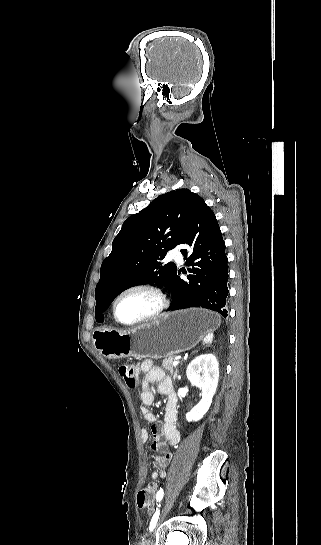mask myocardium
Returning <instances> with one entry per match:
<instances>
[{"instance_id":"f54148a6","label":"myocardium","mask_w":321,"mask_h":545,"mask_svg":"<svg viewBox=\"0 0 321 545\" xmlns=\"http://www.w3.org/2000/svg\"><path fill=\"white\" fill-rule=\"evenodd\" d=\"M134 291H146V292H149L151 294H153L157 301H158V305L155 309V311L153 313H151L150 315H148L147 317L143 318V319H140L138 321H135V322H131V323H127V322H124L122 321L119 316H118V313H117V305H118V302L119 300L126 294L130 293V292H134ZM170 299H169V296L168 294L160 287L156 286V285H153V284H134V285H131V286H128L126 287L125 289L121 290L117 296L115 297L114 299V302H113V315H114V318L116 320V322L122 326H125V327H131V328H135V327H139V326H142L144 324H147V323H151L153 321H156L157 319H159L170 307Z\"/></svg>"}]
</instances>
